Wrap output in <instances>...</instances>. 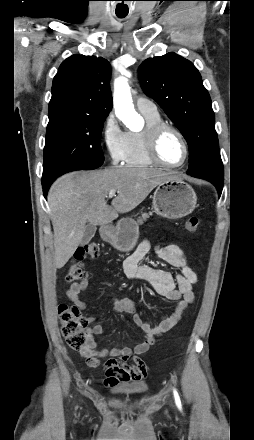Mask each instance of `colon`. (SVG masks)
<instances>
[{
  "instance_id": "obj_1",
  "label": "colon",
  "mask_w": 254,
  "mask_h": 440,
  "mask_svg": "<svg viewBox=\"0 0 254 440\" xmlns=\"http://www.w3.org/2000/svg\"><path fill=\"white\" fill-rule=\"evenodd\" d=\"M199 225L196 216H189L186 229L195 232ZM100 254V247L96 242H90L79 247L73 256V264L67 274L66 280L77 283L87 279V273L82 269V264L87 258H96ZM59 316L62 323V334L67 345L73 350H83L88 340L87 327L89 320L83 316L78 308L72 305L61 304Z\"/></svg>"
}]
</instances>
